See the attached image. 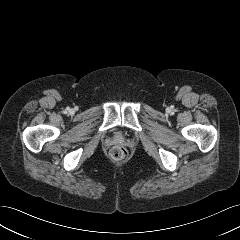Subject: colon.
<instances>
[{
  "label": "colon",
  "mask_w": 240,
  "mask_h": 240,
  "mask_svg": "<svg viewBox=\"0 0 240 240\" xmlns=\"http://www.w3.org/2000/svg\"><path fill=\"white\" fill-rule=\"evenodd\" d=\"M109 156L114 162H122L127 157V151L123 146L115 145L110 149Z\"/></svg>",
  "instance_id": "5ec220e1"
}]
</instances>
